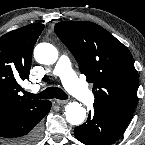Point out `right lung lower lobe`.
Masks as SVG:
<instances>
[{"label":"right lung lower lobe","instance_id":"1","mask_svg":"<svg viewBox=\"0 0 145 145\" xmlns=\"http://www.w3.org/2000/svg\"><path fill=\"white\" fill-rule=\"evenodd\" d=\"M51 109L50 101L0 119V139L10 145H34L41 135L40 121Z\"/></svg>","mask_w":145,"mask_h":145}]
</instances>
